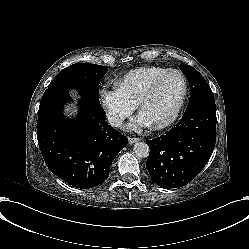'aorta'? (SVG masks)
<instances>
[{"label": "aorta", "instance_id": "1", "mask_svg": "<svg viewBox=\"0 0 249 249\" xmlns=\"http://www.w3.org/2000/svg\"><path fill=\"white\" fill-rule=\"evenodd\" d=\"M133 153L138 158H147L150 148L145 142H136L133 147Z\"/></svg>", "mask_w": 249, "mask_h": 249}]
</instances>
